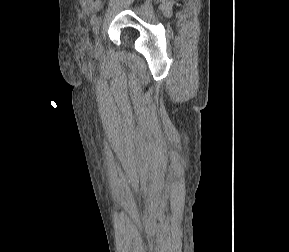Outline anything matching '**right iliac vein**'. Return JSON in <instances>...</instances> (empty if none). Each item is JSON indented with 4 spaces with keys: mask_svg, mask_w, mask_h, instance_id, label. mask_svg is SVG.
<instances>
[{
    "mask_svg": "<svg viewBox=\"0 0 289 252\" xmlns=\"http://www.w3.org/2000/svg\"><path fill=\"white\" fill-rule=\"evenodd\" d=\"M95 51L96 53H99L101 51V34L98 33L97 39H96V44H95Z\"/></svg>",
    "mask_w": 289,
    "mask_h": 252,
    "instance_id": "obj_1",
    "label": "right iliac vein"
}]
</instances>
